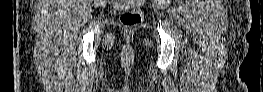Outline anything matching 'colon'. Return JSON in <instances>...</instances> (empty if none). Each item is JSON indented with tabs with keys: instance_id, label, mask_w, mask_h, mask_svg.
Segmentation results:
<instances>
[{
	"instance_id": "5ec220e1",
	"label": "colon",
	"mask_w": 263,
	"mask_h": 92,
	"mask_svg": "<svg viewBox=\"0 0 263 92\" xmlns=\"http://www.w3.org/2000/svg\"><path fill=\"white\" fill-rule=\"evenodd\" d=\"M137 7L123 12L120 16V21L125 27H134L139 25L143 19V12L140 5L143 3L142 0L133 1Z\"/></svg>"
}]
</instances>
